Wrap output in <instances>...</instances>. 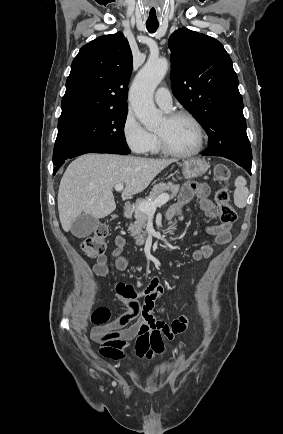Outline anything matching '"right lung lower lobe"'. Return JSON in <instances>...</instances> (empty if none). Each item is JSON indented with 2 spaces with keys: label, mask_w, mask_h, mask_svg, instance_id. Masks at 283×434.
Wrapping results in <instances>:
<instances>
[{
  "label": "right lung lower lobe",
  "mask_w": 283,
  "mask_h": 434,
  "mask_svg": "<svg viewBox=\"0 0 283 434\" xmlns=\"http://www.w3.org/2000/svg\"><path fill=\"white\" fill-rule=\"evenodd\" d=\"M85 153H113V154H118V153H116L114 151H110V150H107V149H89V150H84V151L77 152V153L73 154L72 156H70L68 159L74 158L76 156H79V155H82V154H85ZM63 163H64V161H62V162H60L59 164L56 165V167L54 168L53 174H55L57 172V170L63 165Z\"/></svg>",
  "instance_id": "obj_1"
}]
</instances>
